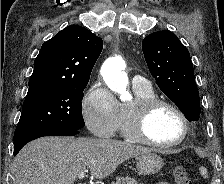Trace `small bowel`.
Returning a JSON list of instances; mask_svg holds the SVG:
<instances>
[{
  "instance_id": "obj_1",
  "label": "small bowel",
  "mask_w": 224,
  "mask_h": 184,
  "mask_svg": "<svg viewBox=\"0 0 224 184\" xmlns=\"http://www.w3.org/2000/svg\"><path fill=\"white\" fill-rule=\"evenodd\" d=\"M157 184H169V183H167V182H160V183H157Z\"/></svg>"
}]
</instances>
